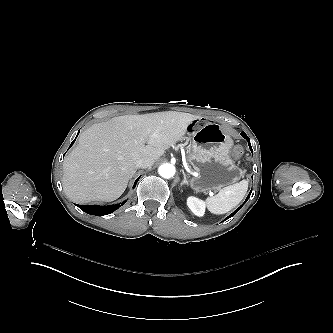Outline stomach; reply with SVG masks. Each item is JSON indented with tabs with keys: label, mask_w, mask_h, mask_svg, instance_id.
Masks as SVG:
<instances>
[{
	"label": "stomach",
	"mask_w": 333,
	"mask_h": 333,
	"mask_svg": "<svg viewBox=\"0 0 333 333\" xmlns=\"http://www.w3.org/2000/svg\"><path fill=\"white\" fill-rule=\"evenodd\" d=\"M186 126L191 131L187 160L198 173L190 185L196 192L219 190L244 175L231 157L232 140L220 125L199 117Z\"/></svg>",
	"instance_id": "0dacf381"
}]
</instances>
